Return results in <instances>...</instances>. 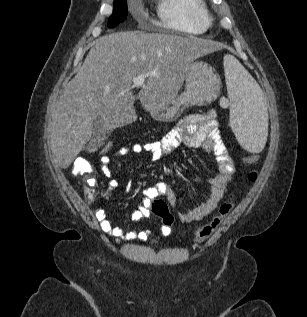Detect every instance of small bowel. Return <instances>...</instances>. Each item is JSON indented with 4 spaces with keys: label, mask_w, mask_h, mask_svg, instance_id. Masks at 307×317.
<instances>
[{
    "label": "small bowel",
    "mask_w": 307,
    "mask_h": 317,
    "mask_svg": "<svg viewBox=\"0 0 307 317\" xmlns=\"http://www.w3.org/2000/svg\"><path fill=\"white\" fill-rule=\"evenodd\" d=\"M218 126L219 123L214 110L202 114L187 115L161 140L144 144L134 143L130 146L123 147L112 156L102 155L100 157L101 172L105 177H112L110 165L114 157L147 153L151 156L153 162H159L171 156L174 150L181 145L202 147L207 152L214 154L218 165V173L209 180L210 192L206 200L198 207L181 212L178 215L179 221L182 223L202 220L217 207L235 171L234 162L222 140ZM118 187L119 182L115 179H111L108 183L107 190L102 193L104 200L109 201L112 192ZM126 190H131L130 184L127 185ZM159 196H165L172 206L175 207L177 205V198L169 185L164 182H158L142 191V199L139 207L130 214V217L134 220H140L150 216L149 209L152 200ZM94 216L101 229L111 236L119 237L127 241L134 239L149 240L152 236L148 230L124 232L121 227L112 224L107 212L102 207H95ZM170 232L169 227L161 226L159 236H168Z\"/></svg>",
    "instance_id": "c3829d8e"
}]
</instances>
